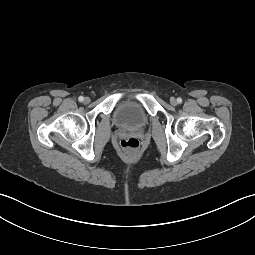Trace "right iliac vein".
Here are the masks:
<instances>
[{
    "instance_id": "63e3f726",
    "label": "right iliac vein",
    "mask_w": 255,
    "mask_h": 255,
    "mask_svg": "<svg viewBox=\"0 0 255 255\" xmlns=\"http://www.w3.org/2000/svg\"><path fill=\"white\" fill-rule=\"evenodd\" d=\"M89 102H90V98L86 97V98L84 99V103H85V104H88Z\"/></svg>"
}]
</instances>
